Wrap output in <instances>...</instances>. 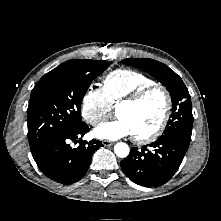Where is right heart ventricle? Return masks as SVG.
Masks as SVG:
<instances>
[{"label":"right heart ventricle","mask_w":221,"mask_h":221,"mask_svg":"<svg viewBox=\"0 0 221 221\" xmlns=\"http://www.w3.org/2000/svg\"><path fill=\"white\" fill-rule=\"evenodd\" d=\"M152 84L155 82L141 72L131 69H116L103 78L102 91L112 107L139 89Z\"/></svg>","instance_id":"obj_1"}]
</instances>
